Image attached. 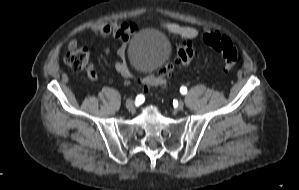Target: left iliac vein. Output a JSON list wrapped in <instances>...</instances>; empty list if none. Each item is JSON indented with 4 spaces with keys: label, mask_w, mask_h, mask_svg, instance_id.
<instances>
[{
    "label": "left iliac vein",
    "mask_w": 299,
    "mask_h": 190,
    "mask_svg": "<svg viewBox=\"0 0 299 190\" xmlns=\"http://www.w3.org/2000/svg\"><path fill=\"white\" fill-rule=\"evenodd\" d=\"M184 108V103L182 101H180L177 105V110L181 111Z\"/></svg>",
    "instance_id": "4c4485c4"
}]
</instances>
